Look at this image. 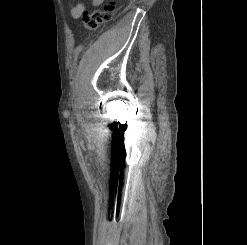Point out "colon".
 <instances>
[{
  "mask_svg": "<svg viewBox=\"0 0 247 245\" xmlns=\"http://www.w3.org/2000/svg\"><path fill=\"white\" fill-rule=\"evenodd\" d=\"M116 10V1L108 0L101 7L86 11L82 18V25L86 30H96L101 25L109 22Z\"/></svg>",
  "mask_w": 247,
  "mask_h": 245,
  "instance_id": "colon-1",
  "label": "colon"
}]
</instances>
